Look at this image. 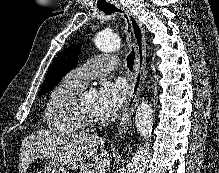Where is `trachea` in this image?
<instances>
[{"instance_id": "trachea-1", "label": "trachea", "mask_w": 219, "mask_h": 173, "mask_svg": "<svg viewBox=\"0 0 219 173\" xmlns=\"http://www.w3.org/2000/svg\"><path fill=\"white\" fill-rule=\"evenodd\" d=\"M100 10H102L105 14L110 15L114 12H121V10H119L118 8H116L113 5H109V6H104V7H100ZM126 17V16H125ZM127 18V17H126ZM127 22L129 23V20H127ZM129 31V30H128ZM134 61H135V51L134 48L132 47L131 52L129 53V55L127 56V67L130 71L133 70V66H134Z\"/></svg>"}]
</instances>
